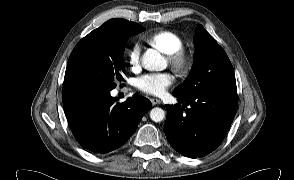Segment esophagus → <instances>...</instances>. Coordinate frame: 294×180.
Wrapping results in <instances>:
<instances>
[{
    "label": "esophagus",
    "instance_id": "34e87169",
    "mask_svg": "<svg viewBox=\"0 0 294 180\" xmlns=\"http://www.w3.org/2000/svg\"><path fill=\"white\" fill-rule=\"evenodd\" d=\"M151 103L153 105H158V104H161V100L157 99V98H152L151 99Z\"/></svg>",
    "mask_w": 294,
    "mask_h": 180
}]
</instances>
